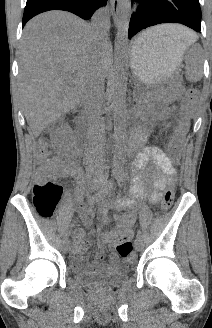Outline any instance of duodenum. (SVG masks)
Here are the masks:
<instances>
[{"mask_svg":"<svg viewBox=\"0 0 212 328\" xmlns=\"http://www.w3.org/2000/svg\"><path fill=\"white\" fill-rule=\"evenodd\" d=\"M143 139V132H138L134 135L133 141L134 143H139Z\"/></svg>","mask_w":212,"mask_h":328,"instance_id":"duodenum-1","label":"duodenum"}]
</instances>
